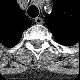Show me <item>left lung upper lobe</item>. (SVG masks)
<instances>
[{
  "label": "left lung upper lobe",
  "mask_w": 80,
  "mask_h": 80,
  "mask_svg": "<svg viewBox=\"0 0 80 80\" xmlns=\"http://www.w3.org/2000/svg\"><path fill=\"white\" fill-rule=\"evenodd\" d=\"M69 4L67 1L55 0L52 13L45 17L46 24L54 37L65 45H71L76 41L74 32L77 21L69 9Z\"/></svg>",
  "instance_id": "left-lung-upper-lobe-1"
}]
</instances>
